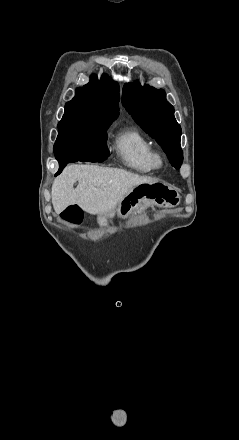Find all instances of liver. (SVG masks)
Wrapping results in <instances>:
<instances>
[{
  "label": "liver",
  "instance_id": "1",
  "mask_svg": "<svg viewBox=\"0 0 239 440\" xmlns=\"http://www.w3.org/2000/svg\"><path fill=\"white\" fill-rule=\"evenodd\" d=\"M79 182L77 188H73ZM155 178H145L118 168L78 166L69 164L52 184V204L56 214L67 206L78 204L87 214H108L117 210L118 202L141 184H156Z\"/></svg>",
  "mask_w": 239,
  "mask_h": 440
}]
</instances>
